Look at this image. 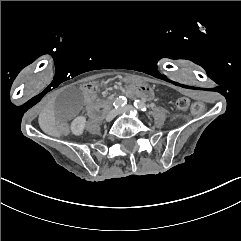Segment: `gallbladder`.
Instances as JSON below:
<instances>
[{
	"mask_svg": "<svg viewBox=\"0 0 241 241\" xmlns=\"http://www.w3.org/2000/svg\"><path fill=\"white\" fill-rule=\"evenodd\" d=\"M81 105L79 89L70 86L56 100V116L59 120L66 121L77 114Z\"/></svg>",
	"mask_w": 241,
	"mask_h": 241,
	"instance_id": "obj_1",
	"label": "gallbladder"
}]
</instances>
